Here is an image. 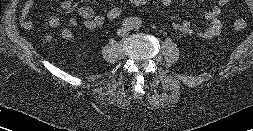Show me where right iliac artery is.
<instances>
[{
    "instance_id": "82829eb1",
    "label": "right iliac artery",
    "mask_w": 253,
    "mask_h": 131,
    "mask_svg": "<svg viewBox=\"0 0 253 131\" xmlns=\"http://www.w3.org/2000/svg\"><path fill=\"white\" fill-rule=\"evenodd\" d=\"M133 19L127 18L122 22V26L131 27L133 25Z\"/></svg>"
}]
</instances>
